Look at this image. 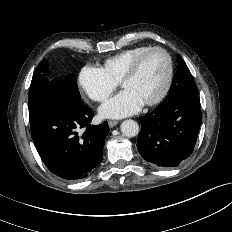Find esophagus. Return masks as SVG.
I'll return each instance as SVG.
<instances>
[{
  "label": "esophagus",
  "mask_w": 232,
  "mask_h": 232,
  "mask_svg": "<svg viewBox=\"0 0 232 232\" xmlns=\"http://www.w3.org/2000/svg\"><path fill=\"white\" fill-rule=\"evenodd\" d=\"M117 124H118V121H115V120H109L108 121V125H109L110 128H113Z\"/></svg>",
  "instance_id": "1"
}]
</instances>
